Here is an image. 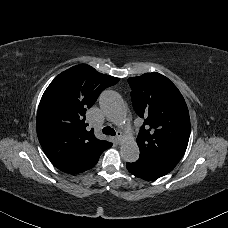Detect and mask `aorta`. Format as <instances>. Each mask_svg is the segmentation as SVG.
Instances as JSON below:
<instances>
[{"instance_id":"aorta-1","label":"aorta","mask_w":228,"mask_h":228,"mask_svg":"<svg viewBox=\"0 0 228 228\" xmlns=\"http://www.w3.org/2000/svg\"><path fill=\"white\" fill-rule=\"evenodd\" d=\"M99 104L106 116L116 125L123 123L126 115V108L121 96L112 90H105L101 93ZM120 154L124 161L135 162L139 158V147L131 137L123 139Z\"/></svg>"}]
</instances>
